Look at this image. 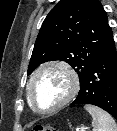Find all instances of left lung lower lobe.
Masks as SVG:
<instances>
[{"label":"left lung lower lobe","mask_w":117,"mask_h":131,"mask_svg":"<svg viewBox=\"0 0 117 131\" xmlns=\"http://www.w3.org/2000/svg\"><path fill=\"white\" fill-rule=\"evenodd\" d=\"M72 104L96 105L117 119V55L113 34L108 47L89 67Z\"/></svg>","instance_id":"0a47b994"}]
</instances>
